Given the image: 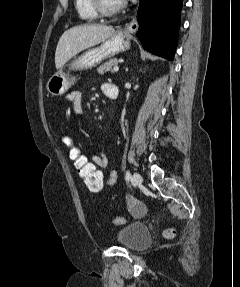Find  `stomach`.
Masks as SVG:
<instances>
[{"mask_svg": "<svg viewBox=\"0 0 240 287\" xmlns=\"http://www.w3.org/2000/svg\"><path fill=\"white\" fill-rule=\"evenodd\" d=\"M130 48V37L127 33L117 31L104 40L99 47L89 49L69 67L68 71L60 69L51 76L47 83V90L53 96L65 93L74 83L75 77L70 76L71 70H82L96 66L102 60Z\"/></svg>", "mask_w": 240, "mask_h": 287, "instance_id": "0dacf381", "label": "stomach"}]
</instances>
